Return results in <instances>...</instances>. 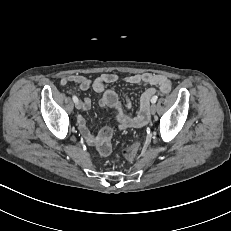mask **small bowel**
Instances as JSON below:
<instances>
[{"instance_id":"c3829d8e","label":"small bowel","mask_w":231,"mask_h":231,"mask_svg":"<svg viewBox=\"0 0 231 231\" xmlns=\"http://www.w3.org/2000/svg\"><path fill=\"white\" fill-rule=\"evenodd\" d=\"M121 80V77L114 73H104L95 79H90L83 75H67L60 80L61 85L69 83L77 84L80 90L92 89L97 93H102L100 105L114 110L115 119L120 129L128 127H141L146 124L148 120V104L151 96L157 90L161 93H168L171 90V81L168 77L161 74L142 73L134 74L124 77L122 80L132 85L150 86L147 88L140 98V111L137 116L130 117L124 110L117 93L114 90L107 89L108 84L116 83ZM126 101V108L130 109L132 106L131 100L128 96H124ZM83 110H89L91 107V100L89 98L83 99ZM78 126L85 141L92 146H97L100 142L99 134H92L86 127V121L83 117H78Z\"/></svg>"}]
</instances>
